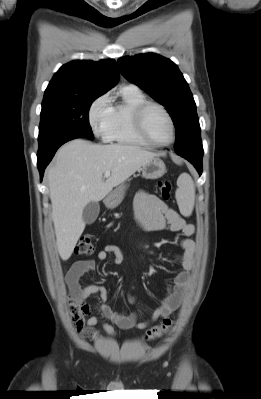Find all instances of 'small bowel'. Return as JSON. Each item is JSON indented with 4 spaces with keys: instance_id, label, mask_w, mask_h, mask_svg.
<instances>
[{
    "instance_id": "1",
    "label": "small bowel",
    "mask_w": 261,
    "mask_h": 399,
    "mask_svg": "<svg viewBox=\"0 0 261 399\" xmlns=\"http://www.w3.org/2000/svg\"><path fill=\"white\" fill-rule=\"evenodd\" d=\"M135 217L143 231L156 232L169 229L172 232H180L184 235L179 241V246L183 252L177 256L181 262L182 271H180L174 280V284L169 287L168 294L155 308L149 319L138 321L136 313H127L113 310L108 304L107 291L101 285L82 286L84 276L95 269L96 261L94 259L80 260L73 264L66 274V284L72 296L84 302L93 294H99L102 304L100 306L101 315L109 320L113 325L122 329H146L158 319L167 317L173 313L184 300L189 287L190 273L194 264L196 254V244L189 238L194 233V226L187 223L183 217L166 202L156 195L140 191L136 194L134 200ZM115 264H121L125 258V252L114 245H107L97 254V260L105 261L109 256ZM131 303L135 302L133 296H129ZM87 327L81 332L85 337L94 336L97 332L95 327L100 325L104 332L114 335V327L102 321L96 316L89 317L86 320Z\"/></svg>"
}]
</instances>
